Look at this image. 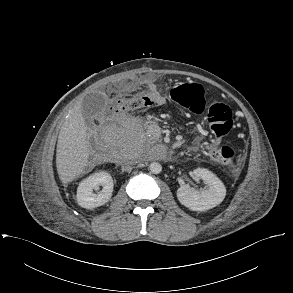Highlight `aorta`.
Wrapping results in <instances>:
<instances>
[{
	"label": "aorta",
	"instance_id": "1",
	"mask_svg": "<svg viewBox=\"0 0 293 293\" xmlns=\"http://www.w3.org/2000/svg\"><path fill=\"white\" fill-rule=\"evenodd\" d=\"M149 170L153 173V174H159L162 171V165L158 162H152L149 165Z\"/></svg>",
	"mask_w": 293,
	"mask_h": 293
}]
</instances>
